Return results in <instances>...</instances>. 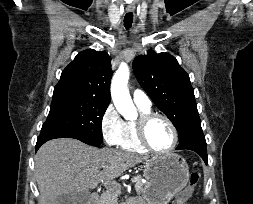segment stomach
Here are the masks:
<instances>
[{"label":"stomach","mask_w":253,"mask_h":204,"mask_svg":"<svg viewBox=\"0 0 253 204\" xmlns=\"http://www.w3.org/2000/svg\"><path fill=\"white\" fill-rule=\"evenodd\" d=\"M146 189L142 197L146 204H168L186 187L189 181V167L183 157L168 154L153 157L144 167Z\"/></svg>","instance_id":"0dacf381"}]
</instances>
